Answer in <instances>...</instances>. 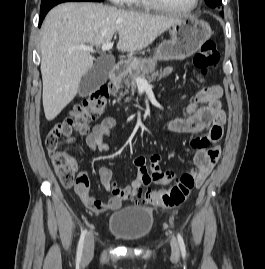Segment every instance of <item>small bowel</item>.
<instances>
[{
    "label": "small bowel",
    "mask_w": 265,
    "mask_h": 269,
    "mask_svg": "<svg viewBox=\"0 0 265 269\" xmlns=\"http://www.w3.org/2000/svg\"><path fill=\"white\" fill-rule=\"evenodd\" d=\"M222 89L218 85H212L201 89L194 100L186 107V116L174 119L166 124V129L175 133L192 134L190 144L195 150V162L199 166V181L201 185L209 176L213 167L217 163L221 145L220 138L212 139L201 134L215 125H221L225 120V113L222 109L220 97ZM204 105V106H200ZM118 125L114 117H105L100 123L95 125L91 133L86 137V145L94 152H109V137L112 129ZM161 157L152 155L147 160L143 156L134 158V165L137 169L136 177L125 187H119L113 178V173L108 167L98 169V177L105 190L111 195L107 203H103L90 196V182L85 171L78 174L75 182V192L90 214H101L107 211L120 209L125 201H129L138 189L148 186L151 183L166 185L173 178L172 170H163L160 166Z\"/></svg>",
    "instance_id": "obj_1"
}]
</instances>
